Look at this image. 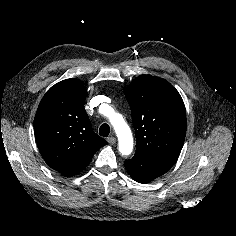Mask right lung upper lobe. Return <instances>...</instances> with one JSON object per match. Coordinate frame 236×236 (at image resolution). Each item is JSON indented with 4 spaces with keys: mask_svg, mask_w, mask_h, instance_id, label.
<instances>
[{
    "mask_svg": "<svg viewBox=\"0 0 236 236\" xmlns=\"http://www.w3.org/2000/svg\"><path fill=\"white\" fill-rule=\"evenodd\" d=\"M86 93L77 79L63 80L46 92L34 118L35 138L44 161L66 177L80 173L107 144L92 130L84 109Z\"/></svg>",
    "mask_w": 236,
    "mask_h": 236,
    "instance_id": "cb5924a9",
    "label": "right lung upper lobe"
}]
</instances>
